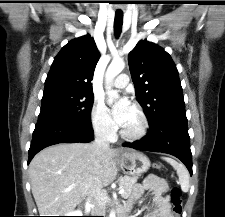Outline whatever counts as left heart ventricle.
I'll list each match as a JSON object with an SVG mask.
<instances>
[{"label": "left heart ventricle", "instance_id": "b2bd125f", "mask_svg": "<svg viewBox=\"0 0 225 217\" xmlns=\"http://www.w3.org/2000/svg\"><path fill=\"white\" fill-rule=\"evenodd\" d=\"M139 126V117L137 113L132 109L130 110V114L126 124L123 126V129L129 132L135 131Z\"/></svg>", "mask_w": 225, "mask_h": 217}]
</instances>
